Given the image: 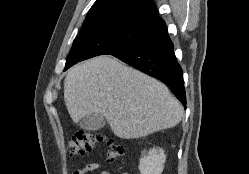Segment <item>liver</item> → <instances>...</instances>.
<instances>
[{
  "label": "liver",
  "mask_w": 249,
  "mask_h": 174,
  "mask_svg": "<svg viewBox=\"0 0 249 174\" xmlns=\"http://www.w3.org/2000/svg\"><path fill=\"white\" fill-rule=\"evenodd\" d=\"M64 100L73 122L99 113L123 139L172 128L183 116L166 85L110 56L72 67L64 81Z\"/></svg>",
  "instance_id": "6515ba94"
}]
</instances>
